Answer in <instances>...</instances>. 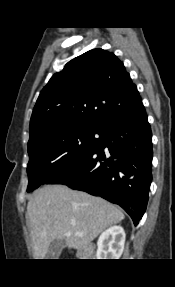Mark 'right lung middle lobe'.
Returning a JSON list of instances; mask_svg holds the SVG:
<instances>
[{
	"label": "right lung middle lobe",
	"mask_w": 175,
	"mask_h": 287,
	"mask_svg": "<svg viewBox=\"0 0 175 287\" xmlns=\"http://www.w3.org/2000/svg\"><path fill=\"white\" fill-rule=\"evenodd\" d=\"M100 131L99 125H82L28 144L27 192L46 184L83 160L97 145Z\"/></svg>",
	"instance_id": "dd1d6c3e"
}]
</instances>
